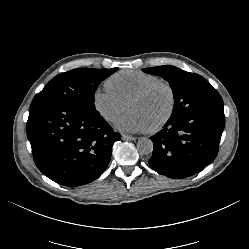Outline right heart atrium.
Here are the masks:
<instances>
[{
    "label": "right heart atrium",
    "instance_id": "right-heart-atrium-1",
    "mask_svg": "<svg viewBox=\"0 0 249 249\" xmlns=\"http://www.w3.org/2000/svg\"><path fill=\"white\" fill-rule=\"evenodd\" d=\"M92 103L95 111L106 122H112L124 108V102L107 87L94 90Z\"/></svg>",
    "mask_w": 249,
    "mask_h": 249
}]
</instances>
